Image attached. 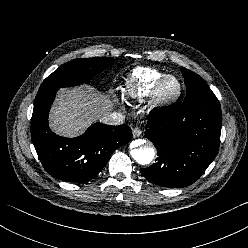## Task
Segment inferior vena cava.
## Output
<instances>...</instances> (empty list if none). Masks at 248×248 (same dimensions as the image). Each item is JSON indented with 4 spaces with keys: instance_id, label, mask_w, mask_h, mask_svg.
<instances>
[{
    "instance_id": "inferior-vena-cava-1",
    "label": "inferior vena cava",
    "mask_w": 248,
    "mask_h": 248,
    "mask_svg": "<svg viewBox=\"0 0 248 248\" xmlns=\"http://www.w3.org/2000/svg\"><path fill=\"white\" fill-rule=\"evenodd\" d=\"M125 116L118 112L108 113L103 116L102 121L108 125L123 124Z\"/></svg>"
}]
</instances>
